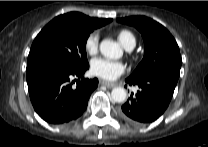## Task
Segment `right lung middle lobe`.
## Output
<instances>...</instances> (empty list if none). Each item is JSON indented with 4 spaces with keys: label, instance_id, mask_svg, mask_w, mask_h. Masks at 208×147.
I'll list each match as a JSON object with an SVG mask.
<instances>
[{
    "label": "right lung middle lobe",
    "instance_id": "right-lung-middle-lobe-1",
    "mask_svg": "<svg viewBox=\"0 0 208 147\" xmlns=\"http://www.w3.org/2000/svg\"><path fill=\"white\" fill-rule=\"evenodd\" d=\"M94 29L73 21H51L35 38L27 68L46 63H61L77 68L89 65L86 42Z\"/></svg>",
    "mask_w": 208,
    "mask_h": 147
}]
</instances>
